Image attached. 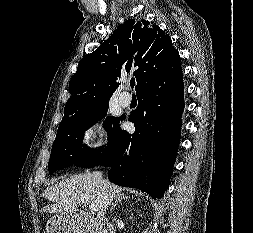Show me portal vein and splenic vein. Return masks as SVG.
Listing matches in <instances>:
<instances>
[{
    "label": "portal vein and splenic vein",
    "instance_id": "obj_1",
    "mask_svg": "<svg viewBox=\"0 0 253 233\" xmlns=\"http://www.w3.org/2000/svg\"><path fill=\"white\" fill-rule=\"evenodd\" d=\"M89 209L91 210V212H97L98 211V208L95 204H90Z\"/></svg>",
    "mask_w": 253,
    "mask_h": 233
}]
</instances>
